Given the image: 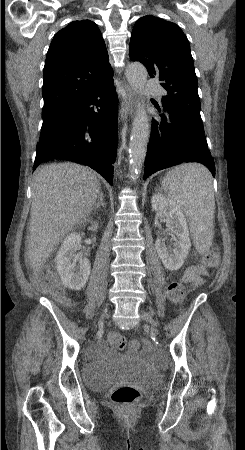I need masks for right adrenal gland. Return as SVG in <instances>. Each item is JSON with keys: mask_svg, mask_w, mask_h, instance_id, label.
<instances>
[{"mask_svg": "<svg viewBox=\"0 0 245 450\" xmlns=\"http://www.w3.org/2000/svg\"><path fill=\"white\" fill-rule=\"evenodd\" d=\"M100 206L105 207V201H104V196H103L102 192L99 193L97 203L95 204V211L98 210V208H100Z\"/></svg>", "mask_w": 245, "mask_h": 450, "instance_id": "2a0ac1e0", "label": "right adrenal gland"}]
</instances>
